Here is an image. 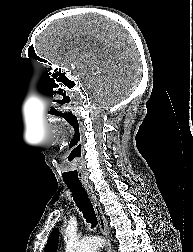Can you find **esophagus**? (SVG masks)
<instances>
[{
  "instance_id": "1",
  "label": "esophagus",
  "mask_w": 193,
  "mask_h": 252,
  "mask_svg": "<svg viewBox=\"0 0 193 252\" xmlns=\"http://www.w3.org/2000/svg\"><path fill=\"white\" fill-rule=\"evenodd\" d=\"M84 189L93 205L97 220H98V224H99V228L100 231L102 232V234L108 239V246H107V252H112L111 250V246L109 244V239H110V230L107 226L104 214H103V210L102 207L92 189V186L90 184H84Z\"/></svg>"
}]
</instances>
